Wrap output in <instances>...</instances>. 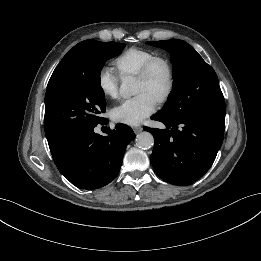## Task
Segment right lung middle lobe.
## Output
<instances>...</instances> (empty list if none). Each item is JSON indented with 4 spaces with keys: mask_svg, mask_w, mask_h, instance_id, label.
I'll list each match as a JSON object with an SVG mask.
<instances>
[{
    "mask_svg": "<svg viewBox=\"0 0 261 261\" xmlns=\"http://www.w3.org/2000/svg\"><path fill=\"white\" fill-rule=\"evenodd\" d=\"M123 43L85 40L70 51L65 65L53 73L45 95V134L52 148L72 133L103 122L104 92L100 73Z\"/></svg>",
    "mask_w": 261,
    "mask_h": 261,
    "instance_id": "dd1d6c3e",
    "label": "right lung middle lobe"
}]
</instances>
